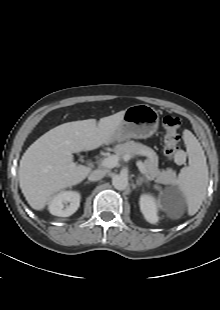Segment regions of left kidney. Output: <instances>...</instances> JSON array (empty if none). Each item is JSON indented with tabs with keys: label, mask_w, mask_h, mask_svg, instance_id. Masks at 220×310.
<instances>
[{
	"label": "left kidney",
	"mask_w": 220,
	"mask_h": 310,
	"mask_svg": "<svg viewBox=\"0 0 220 310\" xmlns=\"http://www.w3.org/2000/svg\"><path fill=\"white\" fill-rule=\"evenodd\" d=\"M140 210L144 215L145 219L149 223H156L158 221V208L162 207L159 202H157L151 195L143 194L140 197Z\"/></svg>",
	"instance_id": "5707ae66"
}]
</instances>
